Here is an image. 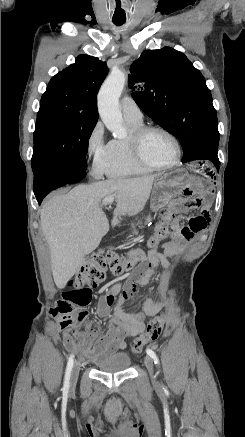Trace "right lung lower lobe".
Returning a JSON list of instances; mask_svg holds the SVG:
<instances>
[{
	"instance_id": "right-lung-lower-lobe-1",
	"label": "right lung lower lobe",
	"mask_w": 245,
	"mask_h": 437,
	"mask_svg": "<svg viewBox=\"0 0 245 437\" xmlns=\"http://www.w3.org/2000/svg\"><path fill=\"white\" fill-rule=\"evenodd\" d=\"M86 176L85 168H72L63 165H49L34 174V194L39 204L52 190L66 184H73Z\"/></svg>"
}]
</instances>
